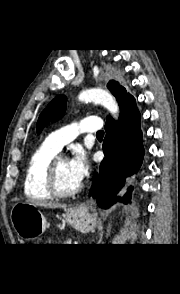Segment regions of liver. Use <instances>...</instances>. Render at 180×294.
<instances>
[{"instance_id":"liver-1","label":"liver","mask_w":180,"mask_h":294,"mask_svg":"<svg viewBox=\"0 0 180 294\" xmlns=\"http://www.w3.org/2000/svg\"><path fill=\"white\" fill-rule=\"evenodd\" d=\"M31 203H33L34 206H41V207H45V208H63V209H66V205H61V204H58V203H48V202H44V201H41V202H32V201H29Z\"/></svg>"}]
</instances>
